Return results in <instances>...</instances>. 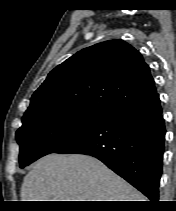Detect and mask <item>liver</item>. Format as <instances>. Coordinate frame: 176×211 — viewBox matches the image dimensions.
<instances>
[{"label": "liver", "instance_id": "6515ba94", "mask_svg": "<svg viewBox=\"0 0 176 211\" xmlns=\"http://www.w3.org/2000/svg\"><path fill=\"white\" fill-rule=\"evenodd\" d=\"M21 201H145V197L107 168L83 154H49L25 176Z\"/></svg>", "mask_w": 176, "mask_h": 211}]
</instances>
